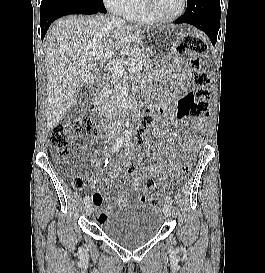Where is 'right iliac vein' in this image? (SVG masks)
Segmentation results:
<instances>
[{
  "label": "right iliac vein",
  "mask_w": 265,
  "mask_h": 273,
  "mask_svg": "<svg viewBox=\"0 0 265 273\" xmlns=\"http://www.w3.org/2000/svg\"><path fill=\"white\" fill-rule=\"evenodd\" d=\"M92 209H93L92 204L89 203V204L86 205V207H85V213H86L87 216L91 215Z\"/></svg>",
  "instance_id": "63e3f726"
}]
</instances>
